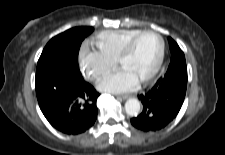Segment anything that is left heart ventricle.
Returning a JSON list of instances; mask_svg holds the SVG:
<instances>
[{
	"mask_svg": "<svg viewBox=\"0 0 225 155\" xmlns=\"http://www.w3.org/2000/svg\"><path fill=\"white\" fill-rule=\"evenodd\" d=\"M160 52V41L153 34L139 38L132 52L121 62V67L143 80L154 68Z\"/></svg>",
	"mask_w": 225,
	"mask_h": 155,
	"instance_id": "b2bd125f",
	"label": "left heart ventricle"
}]
</instances>
